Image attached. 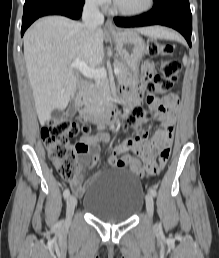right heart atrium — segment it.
Returning a JSON list of instances; mask_svg holds the SVG:
<instances>
[{"mask_svg": "<svg viewBox=\"0 0 219 258\" xmlns=\"http://www.w3.org/2000/svg\"><path fill=\"white\" fill-rule=\"evenodd\" d=\"M90 6L95 8H105L108 6L110 0H85Z\"/></svg>", "mask_w": 219, "mask_h": 258, "instance_id": "obj_1", "label": "right heart atrium"}]
</instances>
